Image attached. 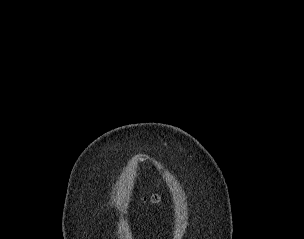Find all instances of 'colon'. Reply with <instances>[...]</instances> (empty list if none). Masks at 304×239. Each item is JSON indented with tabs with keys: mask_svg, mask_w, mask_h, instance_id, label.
I'll return each instance as SVG.
<instances>
[{
	"mask_svg": "<svg viewBox=\"0 0 304 239\" xmlns=\"http://www.w3.org/2000/svg\"><path fill=\"white\" fill-rule=\"evenodd\" d=\"M145 200H149L151 202H158L160 200V197L158 195H152L148 199H145Z\"/></svg>",
	"mask_w": 304,
	"mask_h": 239,
	"instance_id": "colon-1",
	"label": "colon"
}]
</instances>
